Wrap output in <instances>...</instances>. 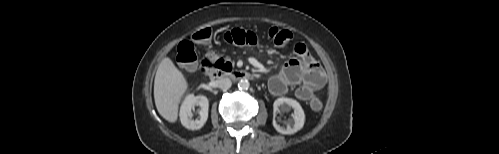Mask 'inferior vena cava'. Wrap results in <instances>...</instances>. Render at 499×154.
<instances>
[{
  "mask_svg": "<svg viewBox=\"0 0 499 154\" xmlns=\"http://www.w3.org/2000/svg\"><path fill=\"white\" fill-rule=\"evenodd\" d=\"M216 85L220 89L227 90L231 87L232 82L229 78H221L216 81Z\"/></svg>",
  "mask_w": 499,
  "mask_h": 154,
  "instance_id": "inferior-vena-cava-1",
  "label": "inferior vena cava"
}]
</instances>
